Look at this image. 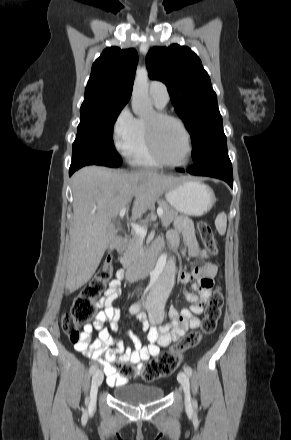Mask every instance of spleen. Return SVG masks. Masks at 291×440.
Instances as JSON below:
<instances>
[{
    "mask_svg": "<svg viewBox=\"0 0 291 440\" xmlns=\"http://www.w3.org/2000/svg\"><path fill=\"white\" fill-rule=\"evenodd\" d=\"M215 226L220 235H224L227 227V216L224 212L219 213L215 219Z\"/></svg>",
    "mask_w": 291,
    "mask_h": 440,
    "instance_id": "1",
    "label": "spleen"
}]
</instances>
